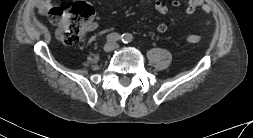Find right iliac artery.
<instances>
[{
  "label": "right iliac artery",
  "mask_w": 253,
  "mask_h": 138,
  "mask_svg": "<svg viewBox=\"0 0 253 138\" xmlns=\"http://www.w3.org/2000/svg\"><path fill=\"white\" fill-rule=\"evenodd\" d=\"M122 36H120L118 33H110L106 36V40L108 42H115L119 39H121Z\"/></svg>",
  "instance_id": "1"
}]
</instances>
